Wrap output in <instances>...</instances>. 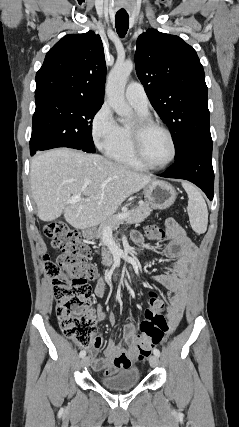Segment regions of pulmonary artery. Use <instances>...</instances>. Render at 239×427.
<instances>
[{"label":"pulmonary artery","mask_w":239,"mask_h":427,"mask_svg":"<svg viewBox=\"0 0 239 427\" xmlns=\"http://www.w3.org/2000/svg\"><path fill=\"white\" fill-rule=\"evenodd\" d=\"M125 98L134 108L147 112L149 100L143 86L138 82H131L125 89Z\"/></svg>","instance_id":"obj_1"}]
</instances>
